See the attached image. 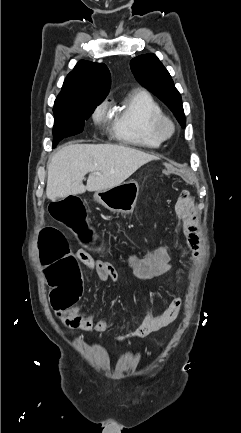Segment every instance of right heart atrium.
Segmentation results:
<instances>
[{"label": "right heart atrium", "mask_w": 241, "mask_h": 433, "mask_svg": "<svg viewBox=\"0 0 241 433\" xmlns=\"http://www.w3.org/2000/svg\"><path fill=\"white\" fill-rule=\"evenodd\" d=\"M108 115V105L107 103L100 104L93 113V120L101 124L106 121Z\"/></svg>", "instance_id": "right-heart-atrium-1"}]
</instances>
